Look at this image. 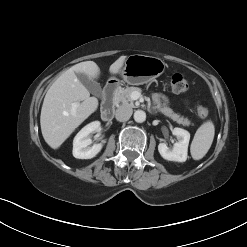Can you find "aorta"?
Masks as SVG:
<instances>
[{
  "instance_id": "762f6f07",
  "label": "aorta",
  "mask_w": 247,
  "mask_h": 247,
  "mask_svg": "<svg viewBox=\"0 0 247 247\" xmlns=\"http://www.w3.org/2000/svg\"><path fill=\"white\" fill-rule=\"evenodd\" d=\"M134 120L138 123H142L146 120V113L142 110H137L134 112Z\"/></svg>"
}]
</instances>
